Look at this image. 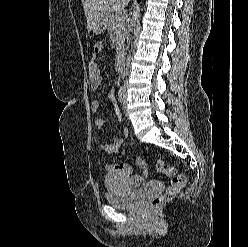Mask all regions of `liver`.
Wrapping results in <instances>:
<instances>
[{"instance_id":"6515ba94","label":"liver","mask_w":248,"mask_h":247,"mask_svg":"<svg viewBox=\"0 0 248 247\" xmlns=\"http://www.w3.org/2000/svg\"><path fill=\"white\" fill-rule=\"evenodd\" d=\"M130 0H82L87 28L92 30L97 21L108 11H121Z\"/></svg>"}]
</instances>
